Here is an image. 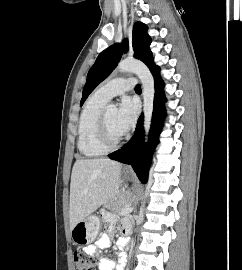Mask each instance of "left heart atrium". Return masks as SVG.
Returning a JSON list of instances; mask_svg holds the SVG:
<instances>
[{"label": "left heart atrium", "instance_id": "39dd6f15", "mask_svg": "<svg viewBox=\"0 0 242 270\" xmlns=\"http://www.w3.org/2000/svg\"><path fill=\"white\" fill-rule=\"evenodd\" d=\"M138 111L139 107L136 100L127 97L121 101L117 112V122L123 132H127L134 126Z\"/></svg>", "mask_w": 242, "mask_h": 270}]
</instances>
